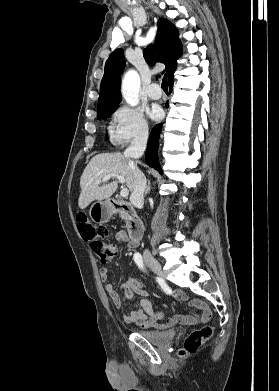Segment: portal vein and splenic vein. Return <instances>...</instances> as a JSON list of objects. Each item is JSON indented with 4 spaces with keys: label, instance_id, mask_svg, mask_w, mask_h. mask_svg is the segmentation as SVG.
Listing matches in <instances>:
<instances>
[{
    "label": "portal vein and splenic vein",
    "instance_id": "1",
    "mask_svg": "<svg viewBox=\"0 0 279 391\" xmlns=\"http://www.w3.org/2000/svg\"><path fill=\"white\" fill-rule=\"evenodd\" d=\"M111 177H117L121 184H123L125 182L124 177L122 175L112 173V174H109L106 177H104L102 180H96V183L100 184L102 182L107 181ZM120 195L122 197H127L129 195V190L127 188H122L120 191Z\"/></svg>",
    "mask_w": 279,
    "mask_h": 391
}]
</instances>
